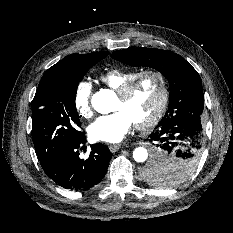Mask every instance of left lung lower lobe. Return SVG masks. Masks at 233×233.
Listing matches in <instances>:
<instances>
[{"label":"left lung lower lobe","mask_w":233,"mask_h":233,"mask_svg":"<svg viewBox=\"0 0 233 233\" xmlns=\"http://www.w3.org/2000/svg\"><path fill=\"white\" fill-rule=\"evenodd\" d=\"M157 147L150 163L163 165L171 158L200 156L203 147L201 121L194 116H181L159 123L149 135Z\"/></svg>","instance_id":"0a47b994"}]
</instances>
